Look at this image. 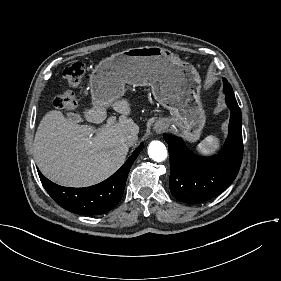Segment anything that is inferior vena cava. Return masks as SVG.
I'll return each mask as SVG.
<instances>
[{
  "mask_svg": "<svg viewBox=\"0 0 281 281\" xmlns=\"http://www.w3.org/2000/svg\"><path fill=\"white\" fill-rule=\"evenodd\" d=\"M138 137L134 134H123L120 136L122 144L133 145L137 141Z\"/></svg>",
  "mask_w": 281,
  "mask_h": 281,
  "instance_id": "1",
  "label": "inferior vena cava"
}]
</instances>
